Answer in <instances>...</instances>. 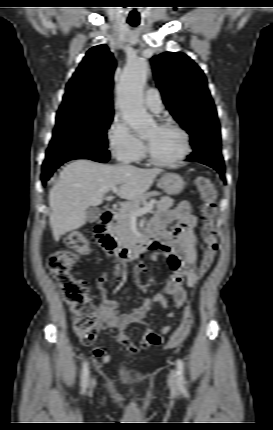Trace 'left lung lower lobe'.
Here are the masks:
<instances>
[{
    "label": "left lung lower lobe",
    "mask_w": 273,
    "mask_h": 430,
    "mask_svg": "<svg viewBox=\"0 0 273 430\" xmlns=\"http://www.w3.org/2000/svg\"><path fill=\"white\" fill-rule=\"evenodd\" d=\"M185 161H197L216 169L225 179L224 161L221 155V143L206 140L203 145L195 148Z\"/></svg>",
    "instance_id": "0a47b994"
}]
</instances>
